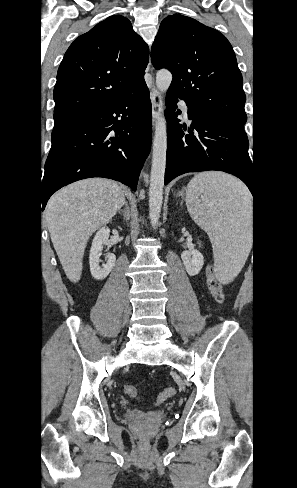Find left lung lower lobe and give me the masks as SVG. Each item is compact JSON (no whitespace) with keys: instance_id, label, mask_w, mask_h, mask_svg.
I'll return each mask as SVG.
<instances>
[{"instance_id":"obj_1","label":"left lung lower lobe","mask_w":297,"mask_h":488,"mask_svg":"<svg viewBox=\"0 0 297 488\" xmlns=\"http://www.w3.org/2000/svg\"><path fill=\"white\" fill-rule=\"evenodd\" d=\"M179 96L168 91L166 96L167 158L165 185L187 172L219 170L240 178L254 191L252 162L248 154V138L244 131L207 119L188 107L190 127L179 124L176 103ZM188 131L189 134H185Z\"/></svg>"}]
</instances>
